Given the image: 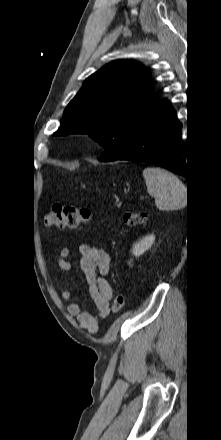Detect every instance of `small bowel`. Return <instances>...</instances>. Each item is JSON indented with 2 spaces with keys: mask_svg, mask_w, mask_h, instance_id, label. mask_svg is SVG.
Returning <instances> with one entry per match:
<instances>
[{
  "mask_svg": "<svg viewBox=\"0 0 221 440\" xmlns=\"http://www.w3.org/2000/svg\"><path fill=\"white\" fill-rule=\"evenodd\" d=\"M79 253V266L85 279L86 293L94 302L96 314L82 311L77 303H70L67 312L77 316L81 327L89 333H95L99 328L100 320L110 313L109 302L113 291L106 278L110 269V257L103 249L87 244L79 247ZM57 264L63 271H72L71 254L66 247L61 248ZM72 296L71 290L62 291L63 299L70 300Z\"/></svg>",
  "mask_w": 221,
  "mask_h": 440,
  "instance_id": "small-bowel-1",
  "label": "small bowel"
}]
</instances>
